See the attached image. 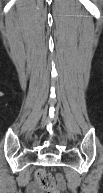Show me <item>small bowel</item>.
<instances>
[{"label":"small bowel","mask_w":103,"mask_h":193,"mask_svg":"<svg viewBox=\"0 0 103 193\" xmlns=\"http://www.w3.org/2000/svg\"><path fill=\"white\" fill-rule=\"evenodd\" d=\"M58 187L59 189H64L65 182L60 180ZM27 193H42V190L36 183H31L27 186Z\"/></svg>","instance_id":"small-bowel-1"}]
</instances>
